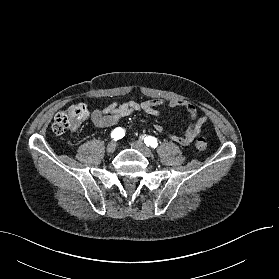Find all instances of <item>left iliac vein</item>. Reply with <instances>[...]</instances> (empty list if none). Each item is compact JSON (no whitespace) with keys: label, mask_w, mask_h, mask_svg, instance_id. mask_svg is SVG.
<instances>
[{"label":"left iliac vein","mask_w":279,"mask_h":279,"mask_svg":"<svg viewBox=\"0 0 279 279\" xmlns=\"http://www.w3.org/2000/svg\"><path fill=\"white\" fill-rule=\"evenodd\" d=\"M130 145L146 157L153 156L152 151L146 145H144L143 143H141L139 141H132L130 143Z\"/></svg>","instance_id":"left-iliac-vein-1"}]
</instances>
